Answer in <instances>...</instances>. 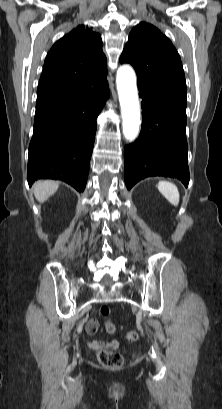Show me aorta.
Here are the masks:
<instances>
[{"mask_svg":"<svg viewBox=\"0 0 222 409\" xmlns=\"http://www.w3.org/2000/svg\"><path fill=\"white\" fill-rule=\"evenodd\" d=\"M116 83L121 107L123 134L128 141H134L139 135L140 106L136 76L133 69L127 65L121 66L117 71Z\"/></svg>","mask_w":222,"mask_h":409,"instance_id":"1","label":"aorta"}]
</instances>
